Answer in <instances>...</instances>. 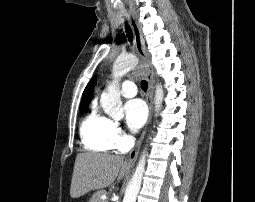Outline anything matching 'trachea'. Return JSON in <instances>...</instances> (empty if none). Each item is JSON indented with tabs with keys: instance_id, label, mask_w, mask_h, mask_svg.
Masks as SVG:
<instances>
[{
	"instance_id": "obj_1",
	"label": "trachea",
	"mask_w": 255,
	"mask_h": 202,
	"mask_svg": "<svg viewBox=\"0 0 255 202\" xmlns=\"http://www.w3.org/2000/svg\"><path fill=\"white\" fill-rule=\"evenodd\" d=\"M126 34H127L129 41L132 42V31H131L130 27L128 26V24H126ZM141 87H142L143 91H146L148 88V83L145 80H143L141 82Z\"/></svg>"
}]
</instances>
